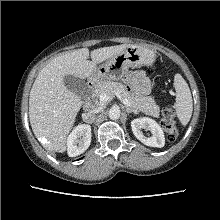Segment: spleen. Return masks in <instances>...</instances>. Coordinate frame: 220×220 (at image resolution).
Here are the masks:
<instances>
[{"label":"spleen","mask_w":220,"mask_h":220,"mask_svg":"<svg viewBox=\"0 0 220 220\" xmlns=\"http://www.w3.org/2000/svg\"><path fill=\"white\" fill-rule=\"evenodd\" d=\"M174 87L176 90V115L183 126L190 121L193 111V102L188 84L180 74L174 77Z\"/></svg>","instance_id":"3e777b00"}]
</instances>
